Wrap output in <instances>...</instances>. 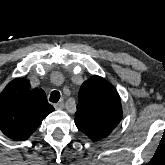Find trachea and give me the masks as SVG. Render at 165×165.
I'll list each match as a JSON object with an SVG mask.
<instances>
[{
    "instance_id": "3493384b",
    "label": "trachea",
    "mask_w": 165,
    "mask_h": 165,
    "mask_svg": "<svg viewBox=\"0 0 165 165\" xmlns=\"http://www.w3.org/2000/svg\"><path fill=\"white\" fill-rule=\"evenodd\" d=\"M60 99V93L59 91H52L50 94V102L56 103Z\"/></svg>"
}]
</instances>
